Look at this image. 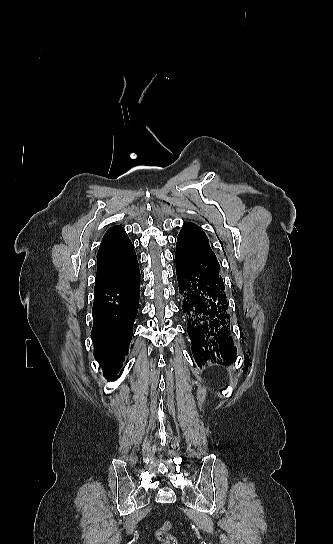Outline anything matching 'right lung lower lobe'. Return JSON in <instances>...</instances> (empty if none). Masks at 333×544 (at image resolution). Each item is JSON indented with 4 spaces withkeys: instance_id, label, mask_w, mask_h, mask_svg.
I'll return each instance as SVG.
<instances>
[{
    "instance_id": "1",
    "label": "right lung lower lobe",
    "mask_w": 333,
    "mask_h": 544,
    "mask_svg": "<svg viewBox=\"0 0 333 544\" xmlns=\"http://www.w3.org/2000/svg\"><path fill=\"white\" fill-rule=\"evenodd\" d=\"M140 297V271L136 262L121 277L94 289V356L108 379L114 378L127 355Z\"/></svg>"
}]
</instances>
